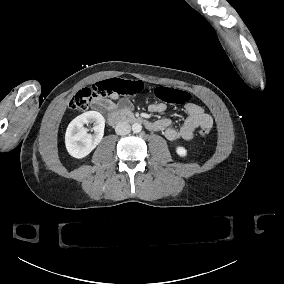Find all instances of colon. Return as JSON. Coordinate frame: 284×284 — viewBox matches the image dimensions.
<instances>
[{"mask_svg": "<svg viewBox=\"0 0 284 284\" xmlns=\"http://www.w3.org/2000/svg\"><path fill=\"white\" fill-rule=\"evenodd\" d=\"M144 87L145 82L139 79H110L94 82L90 85L83 86L74 94L70 100V108L74 110L88 109L92 103L98 102L101 96L114 94L132 96L140 93ZM156 93L161 100L172 105H184L189 100V95L184 90L163 89L159 87ZM210 132L211 129L208 126H205L199 131L204 138H207Z\"/></svg>", "mask_w": 284, "mask_h": 284, "instance_id": "5ec220e1", "label": "colon"}]
</instances>
